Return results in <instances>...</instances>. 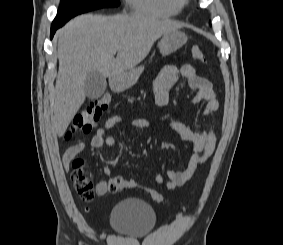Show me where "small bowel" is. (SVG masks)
<instances>
[{"label":"small bowel","mask_w":283,"mask_h":245,"mask_svg":"<svg viewBox=\"0 0 283 245\" xmlns=\"http://www.w3.org/2000/svg\"><path fill=\"white\" fill-rule=\"evenodd\" d=\"M181 78L195 91L191 100V105H197L201 102L205 103L203 109V116L205 118L208 119L212 113L218 111L219 102L211 82L208 79L199 76L195 69L189 64H184L180 67L167 65L160 71L154 83L155 101L159 107L164 109L168 108L169 91ZM162 119L166 128L173 131L193 148V154L184 170L167 171V180H165L161 173H155L154 179L156 183L164 184L167 189L173 190L185 184L193 176L195 171L214 153L216 147V134L212 122H209L201 131H197L184 124L175 114L168 110L165 112ZM120 123H122V118L118 115L108 118L105 121L104 126L97 129L91 138L90 145L96 149L113 147L116 144V140L112 136H106V132ZM151 128L152 124L150 121L144 118H137L130 122L131 132ZM84 147L85 143L79 142L76 145L70 146L64 152L62 160L66 169H69L73 158L81 152ZM103 173L109 180L114 177L110 167H105ZM108 183L109 181L107 182L105 180L97 182L95 190L98 196H104L109 192ZM86 211H89V208H86Z\"/></svg>","instance_id":"c3829d8e"}]
</instances>
